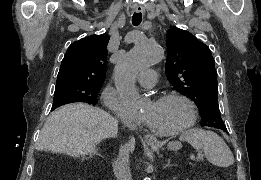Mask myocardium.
<instances>
[{"mask_svg":"<svg viewBox=\"0 0 261 180\" xmlns=\"http://www.w3.org/2000/svg\"><path fill=\"white\" fill-rule=\"evenodd\" d=\"M165 98H178L187 105L189 112L183 128L178 133H174L166 136H155L148 131L147 127L142 122L143 131L144 134L150 139L178 140L182 138L189 131V129L194 125L197 117V106L192 98H190L187 94L179 90L164 91L157 97V99H165Z\"/></svg>","mask_w":261,"mask_h":180,"instance_id":"myocardium-1","label":"myocardium"}]
</instances>
